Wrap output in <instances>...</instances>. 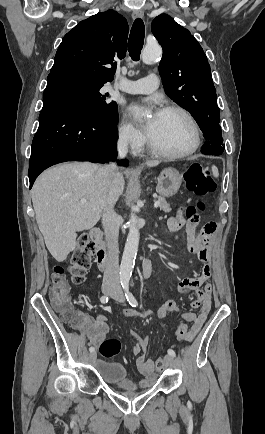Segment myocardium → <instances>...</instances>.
Returning a JSON list of instances; mask_svg holds the SVG:
<instances>
[{
  "instance_id": "1",
  "label": "myocardium",
  "mask_w": 265,
  "mask_h": 434,
  "mask_svg": "<svg viewBox=\"0 0 265 434\" xmlns=\"http://www.w3.org/2000/svg\"><path fill=\"white\" fill-rule=\"evenodd\" d=\"M172 111L180 113L190 123L191 128H192V133H193L192 142H191L190 146L188 148H186L180 152H176V153L166 152V151L158 149L150 141V139H148V146H149L151 153L157 157H160L163 159H168V160H179V159L186 158L197 151V149L199 148L200 143H201V129H200L198 122L193 117V115L186 108H184L181 105L171 104V105L165 106L162 109L161 113H168V112H172Z\"/></svg>"
}]
</instances>
